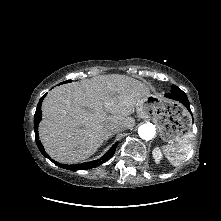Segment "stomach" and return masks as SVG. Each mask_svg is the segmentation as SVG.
Returning a JSON list of instances; mask_svg holds the SVG:
<instances>
[{
    "instance_id": "1",
    "label": "stomach",
    "mask_w": 221,
    "mask_h": 221,
    "mask_svg": "<svg viewBox=\"0 0 221 221\" xmlns=\"http://www.w3.org/2000/svg\"><path fill=\"white\" fill-rule=\"evenodd\" d=\"M136 112L140 118L153 120L160 137L168 143L181 140L191 128V117L180 104L161 95L148 94L137 102Z\"/></svg>"
}]
</instances>
